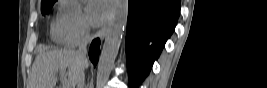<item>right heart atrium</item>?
<instances>
[{"instance_id":"1","label":"right heart atrium","mask_w":267,"mask_h":88,"mask_svg":"<svg viewBox=\"0 0 267 88\" xmlns=\"http://www.w3.org/2000/svg\"><path fill=\"white\" fill-rule=\"evenodd\" d=\"M88 24L78 3L61 5L52 26L53 38L65 45H76L88 34Z\"/></svg>"}]
</instances>
